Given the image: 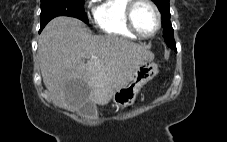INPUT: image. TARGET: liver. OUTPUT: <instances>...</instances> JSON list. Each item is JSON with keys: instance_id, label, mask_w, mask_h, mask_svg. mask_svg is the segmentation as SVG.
<instances>
[{"instance_id": "liver-1", "label": "liver", "mask_w": 227, "mask_h": 142, "mask_svg": "<svg viewBox=\"0 0 227 142\" xmlns=\"http://www.w3.org/2000/svg\"><path fill=\"white\" fill-rule=\"evenodd\" d=\"M37 53L50 96L71 111L91 102L108 104L140 64L154 59L139 44L113 35H92L82 21L64 16L43 29Z\"/></svg>"}]
</instances>
